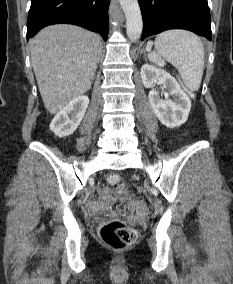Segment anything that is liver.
Returning a JSON list of instances; mask_svg holds the SVG:
<instances>
[{
	"label": "liver",
	"instance_id": "liver-1",
	"mask_svg": "<svg viewBox=\"0 0 233 284\" xmlns=\"http://www.w3.org/2000/svg\"><path fill=\"white\" fill-rule=\"evenodd\" d=\"M30 47L38 88L51 114L91 88L102 51L99 35L74 25H51L30 40Z\"/></svg>",
	"mask_w": 233,
	"mask_h": 284
}]
</instances>
